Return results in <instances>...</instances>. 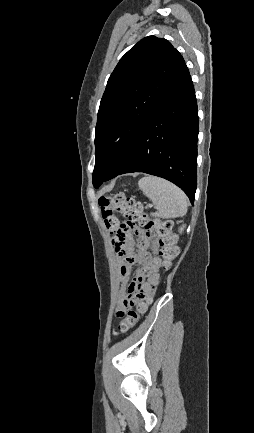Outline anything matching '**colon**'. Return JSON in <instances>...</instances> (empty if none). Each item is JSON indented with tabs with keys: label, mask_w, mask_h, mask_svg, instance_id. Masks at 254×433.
Instances as JSON below:
<instances>
[{
	"label": "colon",
	"mask_w": 254,
	"mask_h": 433,
	"mask_svg": "<svg viewBox=\"0 0 254 433\" xmlns=\"http://www.w3.org/2000/svg\"><path fill=\"white\" fill-rule=\"evenodd\" d=\"M104 225L110 233L114 252L118 256L126 254V242L131 233L139 234L141 228L146 233L154 231L159 241V255L163 266L169 268L179 254L178 238L172 232V223L160 222L150 218L141 203L122 193L114 196L104 195L99 199ZM120 215L124 221L117 218ZM136 305V308H134ZM147 303L138 302L128 296L118 310L119 323L117 330L126 333L138 322L140 315L146 311Z\"/></svg>",
	"instance_id": "obj_1"
}]
</instances>
